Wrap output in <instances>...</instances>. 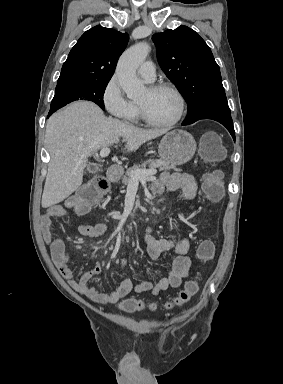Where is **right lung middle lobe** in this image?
Returning a JSON list of instances; mask_svg holds the SVG:
<instances>
[{
  "instance_id": "obj_1",
  "label": "right lung middle lobe",
  "mask_w": 283,
  "mask_h": 384,
  "mask_svg": "<svg viewBox=\"0 0 283 384\" xmlns=\"http://www.w3.org/2000/svg\"><path fill=\"white\" fill-rule=\"evenodd\" d=\"M108 82L109 81L56 86V94L52 100L51 109L57 110L76 100H89L104 110L103 95Z\"/></svg>"
}]
</instances>
